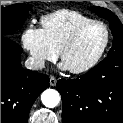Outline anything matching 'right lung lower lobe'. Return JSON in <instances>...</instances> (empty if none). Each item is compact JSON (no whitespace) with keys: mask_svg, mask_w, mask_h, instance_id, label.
<instances>
[{"mask_svg":"<svg viewBox=\"0 0 123 123\" xmlns=\"http://www.w3.org/2000/svg\"><path fill=\"white\" fill-rule=\"evenodd\" d=\"M22 48L1 36V123H27L37 97L49 86V77L22 68Z\"/></svg>","mask_w":123,"mask_h":123,"instance_id":"98d812e1","label":"right lung lower lobe"}]
</instances>
